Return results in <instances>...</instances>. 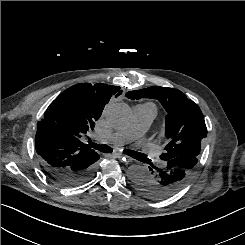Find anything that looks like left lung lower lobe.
<instances>
[{
  "instance_id": "obj_1",
  "label": "left lung lower lobe",
  "mask_w": 245,
  "mask_h": 245,
  "mask_svg": "<svg viewBox=\"0 0 245 245\" xmlns=\"http://www.w3.org/2000/svg\"><path fill=\"white\" fill-rule=\"evenodd\" d=\"M198 157L181 155L164 163V167H149L151 174L135 182L136 189L153 200L166 199L179 192L190 179Z\"/></svg>"
}]
</instances>
